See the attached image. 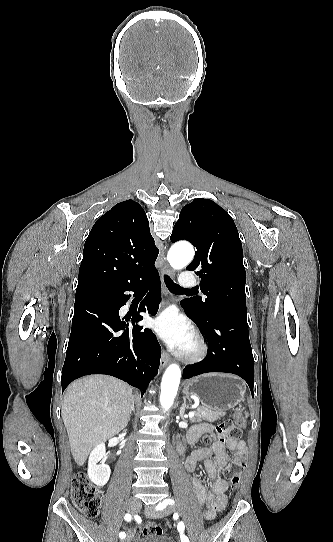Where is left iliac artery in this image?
Wrapping results in <instances>:
<instances>
[{"label":"left iliac artery","instance_id":"obj_1","mask_svg":"<svg viewBox=\"0 0 333 542\" xmlns=\"http://www.w3.org/2000/svg\"><path fill=\"white\" fill-rule=\"evenodd\" d=\"M167 504H174V501L172 499H166L162 503H159V505L156 507V509L161 510V509L165 508ZM177 529L180 532L181 542H189L188 537L183 534V531L185 529V526H184L183 522L178 523Z\"/></svg>","mask_w":333,"mask_h":542}]
</instances>
